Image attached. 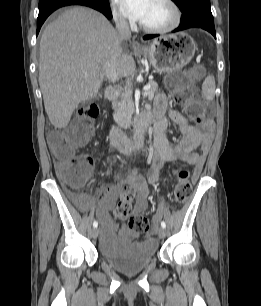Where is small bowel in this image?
<instances>
[{
    "mask_svg": "<svg viewBox=\"0 0 261 306\" xmlns=\"http://www.w3.org/2000/svg\"><path fill=\"white\" fill-rule=\"evenodd\" d=\"M167 106V95L159 93L155 98L154 109L151 113L155 119L153 154L147 167L148 183L153 186L163 185L159 179V171L165 162L171 161H182L194 166L193 179L195 180L202 171L214 137L212 120L193 123L182 114L168 111ZM170 123L176 125L181 134L180 140L174 145H170L166 138V130ZM64 166L63 163L58 162L57 171L60 172ZM90 169H92V162ZM124 186L130 187L134 192L135 204L132 214L141 213L148 206L149 188L147 181L138 170H132L124 182L102 189L95 214L103 225L105 234L103 243L105 244L113 240L108 234V231L115 225L110 211L115 206ZM79 205L84 209H91L93 200L88 195L82 196L79 199Z\"/></svg>",
    "mask_w": 261,
    "mask_h": 306,
    "instance_id": "c3829d8e",
    "label": "small bowel"
}]
</instances>
